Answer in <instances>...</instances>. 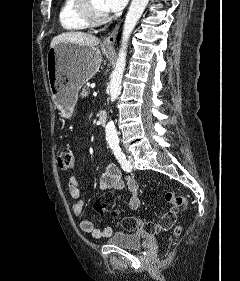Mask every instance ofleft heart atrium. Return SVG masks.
Here are the masks:
<instances>
[{
    "mask_svg": "<svg viewBox=\"0 0 240 281\" xmlns=\"http://www.w3.org/2000/svg\"><path fill=\"white\" fill-rule=\"evenodd\" d=\"M128 0H104L105 10L117 12L125 7Z\"/></svg>",
    "mask_w": 240,
    "mask_h": 281,
    "instance_id": "39dd6f15",
    "label": "left heart atrium"
}]
</instances>
